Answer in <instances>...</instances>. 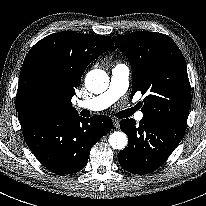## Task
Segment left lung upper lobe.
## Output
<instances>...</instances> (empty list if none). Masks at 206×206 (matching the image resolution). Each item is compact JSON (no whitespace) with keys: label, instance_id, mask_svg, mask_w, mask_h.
<instances>
[{"label":"left lung upper lobe","instance_id":"5c2ea615","mask_svg":"<svg viewBox=\"0 0 206 206\" xmlns=\"http://www.w3.org/2000/svg\"><path fill=\"white\" fill-rule=\"evenodd\" d=\"M117 47L132 67V97L144 98L143 117L185 125L191 104V87L184 57L167 35L137 31L114 36Z\"/></svg>","mask_w":206,"mask_h":206}]
</instances>
